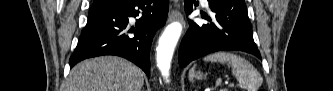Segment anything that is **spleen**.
Wrapping results in <instances>:
<instances>
[{
	"label": "spleen",
	"instance_id": "1",
	"mask_svg": "<svg viewBox=\"0 0 333 91\" xmlns=\"http://www.w3.org/2000/svg\"><path fill=\"white\" fill-rule=\"evenodd\" d=\"M206 62H218L229 64L232 74L238 80L240 86L247 91H257L263 83V78L256 68L246 59L229 52H216L203 59ZM195 66L189 71V80L192 81L195 74Z\"/></svg>",
	"mask_w": 333,
	"mask_h": 91
}]
</instances>
